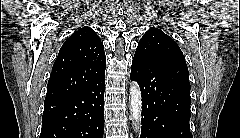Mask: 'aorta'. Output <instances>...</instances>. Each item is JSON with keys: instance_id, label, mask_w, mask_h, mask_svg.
I'll use <instances>...</instances> for the list:
<instances>
[{"instance_id": "obj_1", "label": "aorta", "mask_w": 240, "mask_h": 138, "mask_svg": "<svg viewBox=\"0 0 240 138\" xmlns=\"http://www.w3.org/2000/svg\"><path fill=\"white\" fill-rule=\"evenodd\" d=\"M129 104L134 130L139 131L141 128L142 100L141 90L137 82L131 83L129 91Z\"/></svg>"}]
</instances>
